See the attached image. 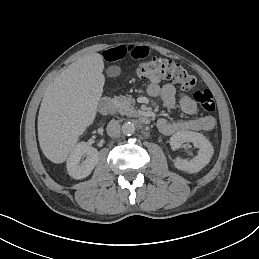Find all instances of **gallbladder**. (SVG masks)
<instances>
[{
	"instance_id": "1",
	"label": "gallbladder",
	"mask_w": 259,
	"mask_h": 259,
	"mask_svg": "<svg viewBox=\"0 0 259 259\" xmlns=\"http://www.w3.org/2000/svg\"><path fill=\"white\" fill-rule=\"evenodd\" d=\"M109 77H116L120 74V68L117 66H111L106 70Z\"/></svg>"
}]
</instances>
